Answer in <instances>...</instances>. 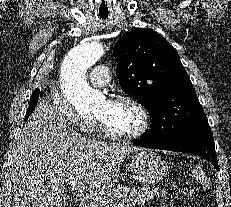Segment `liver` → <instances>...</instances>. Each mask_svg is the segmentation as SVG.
Segmentation results:
<instances>
[{
  "mask_svg": "<svg viewBox=\"0 0 231 207\" xmlns=\"http://www.w3.org/2000/svg\"><path fill=\"white\" fill-rule=\"evenodd\" d=\"M142 150L92 141L76 132L57 107L39 102L26 121L11 167L14 207H65V183L95 190L112 187L126 155Z\"/></svg>",
  "mask_w": 231,
  "mask_h": 207,
  "instance_id": "obj_1",
  "label": "liver"
}]
</instances>
